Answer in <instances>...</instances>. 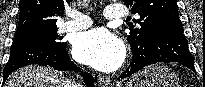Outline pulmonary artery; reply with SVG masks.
Wrapping results in <instances>:
<instances>
[{"mask_svg":"<svg viewBox=\"0 0 205 87\" xmlns=\"http://www.w3.org/2000/svg\"><path fill=\"white\" fill-rule=\"evenodd\" d=\"M128 12L126 8L122 5H109L105 9L104 16L108 20L123 19L127 16ZM68 17L70 20L64 22L60 26V30L64 32L78 31L85 28H88L92 25V20L89 16L78 12V11H69Z\"/></svg>","mask_w":205,"mask_h":87,"instance_id":"pulmonary-artery-1","label":"pulmonary artery"}]
</instances>
